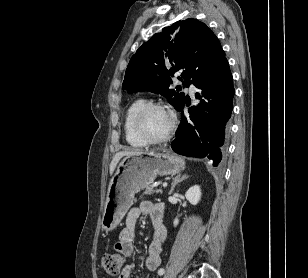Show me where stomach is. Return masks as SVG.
I'll return each mask as SVG.
<instances>
[{"mask_svg":"<svg viewBox=\"0 0 308 278\" xmlns=\"http://www.w3.org/2000/svg\"><path fill=\"white\" fill-rule=\"evenodd\" d=\"M184 167L185 161L171 153L145 152L124 157L108 186L102 230L115 229L132 206L135 194L148 187L158 175L176 174Z\"/></svg>","mask_w":308,"mask_h":278,"instance_id":"0dacf381","label":"stomach"}]
</instances>
